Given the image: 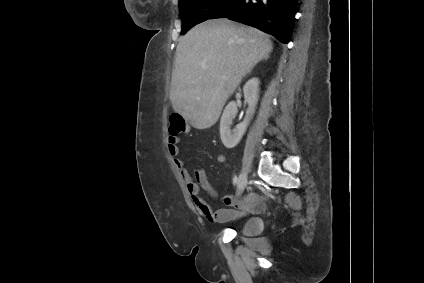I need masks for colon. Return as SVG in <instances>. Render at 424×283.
I'll list each match as a JSON object with an SVG mask.
<instances>
[{"instance_id":"colon-1","label":"colon","mask_w":424,"mask_h":283,"mask_svg":"<svg viewBox=\"0 0 424 283\" xmlns=\"http://www.w3.org/2000/svg\"><path fill=\"white\" fill-rule=\"evenodd\" d=\"M187 124L184 117L179 113H172L169 117V133L177 136L186 131Z\"/></svg>"}]
</instances>
